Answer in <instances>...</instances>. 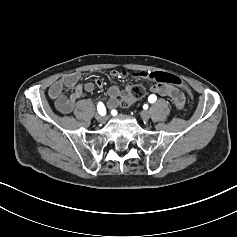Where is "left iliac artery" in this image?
I'll return each mask as SVG.
<instances>
[{"mask_svg":"<svg viewBox=\"0 0 237 237\" xmlns=\"http://www.w3.org/2000/svg\"><path fill=\"white\" fill-rule=\"evenodd\" d=\"M156 100H157V97H156V95H154V94H152V95H150V96L148 97V101H149L150 103H154Z\"/></svg>","mask_w":237,"mask_h":237,"instance_id":"44dca946","label":"left iliac artery"}]
</instances>
